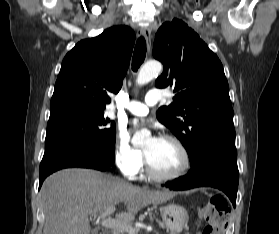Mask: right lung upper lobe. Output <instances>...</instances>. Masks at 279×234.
Returning <instances> with one entry per match:
<instances>
[{
    "label": "right lung upper lobe",
    "mask_w": 279,
    "mask_h": 234,
    "mask_svg": "<svg viewBox=\"0 0 279 234\" xmlns=\"http://www.w3.org/2000/svg\"><path fill=\"white\" fill-rule=\"evenodd\" d=\"M135 34L130 27L114 26L97 37L84 39L62 61L50 111L83 108L104 111L118 93L127 73Z\"/></svg>",
    "instance_id": "right-lung-upper-lobe-1"
}]
</instances>
